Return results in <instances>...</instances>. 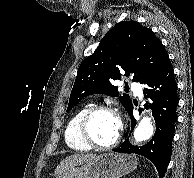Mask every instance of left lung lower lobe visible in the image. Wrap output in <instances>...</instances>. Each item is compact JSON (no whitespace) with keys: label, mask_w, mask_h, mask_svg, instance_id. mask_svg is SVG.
<instances>
[{"label":"left lung lower lobe","mask_w":194,"mask_h":178,"mask_svg":"<svg viewBox=\"0 0 194 178\" xmlns=\"http://www.w3.org/2000/svg\"><path fill=\"white\" fill-rule=\"evenodd\" d=\"M141 84L145 86L143 93L150 100L145 105L152 110L156 122V132L153 138L144 146H132L128 139L113 151L119 153H135L148 158L156 167L159 178H163L172 155V141L175 122L177 121L176 108L178 105L177 83L174 78V69L169 56L160 68ZM131 118V131L136 122L132 115L133 105L127 110Z\"/></svg>","instance_id":"left-lung-lower-lobe-1"}]
</instances>
